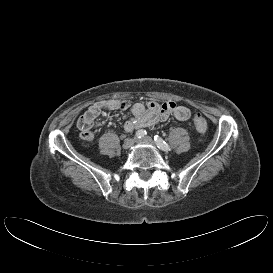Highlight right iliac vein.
Segmentation results:
<instances>
[{
	"mask_svg": "<svg viewBox=\"0 0 273 273\" xmlns=\"http://www.w3.org/2000/svg\"><path fill=\"white\" fill-rule=\"evenodd\" d=\"M135 141H136L135 138L126 139L122 145L123 149L125 150L130 149L134 145Z\"/></svg>",
	"mask_w": 273,
	"mask_h": 273,
	"instance_id": "right-iliac-vein-1",
	"label": "right iliac vein"
}]
</instances>
